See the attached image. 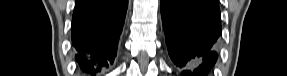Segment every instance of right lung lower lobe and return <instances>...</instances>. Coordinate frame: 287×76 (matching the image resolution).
I'll list each match as a JSON object with an SVG mask.
<instances>
[{"mask_svg":"<svg viewBox=\"0 0 287 76\" xmlns=\"http://www.w3.org/2000/svg\"><path fill=\"white\" fill-rule=\"evenodd\" d=\"M128 0H76L72 44L81 69L95 76L112 64Z\"/></svg>","mask_w":287,"mask_h":76,"instance_id":"obj_1","label":"right lung lower lobe"}]
</instances>
